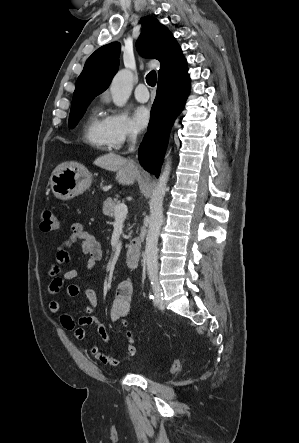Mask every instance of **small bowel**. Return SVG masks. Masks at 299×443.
<instances>
[{"instance_id":"1","label":"small bowel","mask_w":299,"mask_h":443,"mask_svg":"<svg viewBox=\"0 0 299 443\" xmlns=\"http://www.w3.org/2000/svg\"><path fill=\"white\" fill-rule=\"evenodd\" d=\"M76 244H80L81 255L88 256L87 269L94 271L97 267L98 261L103 256V245L97 240V238L88 233L82 224L74 223L71 227L69 236L64 239L58 246L55 263L49 268L48 274L51 277V282L48 285V293L50 296L57 295L66 282L73 281L79 278L80 273L77 269H69L62 272L61 265L70 261L71 256L69 249ZM134 286L130 277L122 279L115 290V297L110 304L109 316L113 322L127 324V317L131 311L132 299H133ZM79 294H83L88 304L84 307L83 315L77 320L74 319L70 312H61L62 304L59 300L52 299L49 303V310L52 314L59 316V321L65 330L73 332L76 340L83 341L86 338L85 327L89 325H95L97 334L104 344L109 343L110 334L106 327L93 315V310L97 305L96 292L87 287H82L77 284H71L66 289V295L68 297H76ZM129 338V345L124 353L119 356H109L102 352L97 344H91L89 346L90 354L99 362L110 365L118 366L123 361L131 360L135 353L136 348L133 343L131 332H127Z\"/></svg>"}]
</instances>
